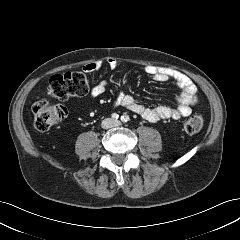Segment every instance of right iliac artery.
<instances>
[{
  "mask_svg": "<svg viewBox=\"0 0 240 240\" xmlns=\"http://www.w3.org/2000/svg\"><path fill=\"white\" fill-rule=\"evenodd\" d=\"M119 118V115L118 114H116V113H113L112 114V119L113 120H117Z\"/></svg>",
  "mask_w": 240,
  "mask_h": 240,
  "instance_id": "right-iliac-artery-1",
  "label": "right iliac artery"
}]
</instances>
